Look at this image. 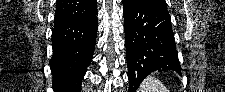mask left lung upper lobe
I'll use <instances>...</instances> for the list:
<instances>
[{
	"label": "left lung upper lobe",
	"instance_id": "5c2ea615",
	"mask_svg": "<svg viewBox=\"0 0 225 92\" xmlns=\"http://www.w3.org/2000/svg\"><path fill=\"white\" fill-rule=\"evenodd\" d=\"M140 1L145 4L156 6V7L167 10V4L165 0H140Z\"/></svg>",
	"mask_w": 225,
	"mask_h": 92
}]
</instances>
